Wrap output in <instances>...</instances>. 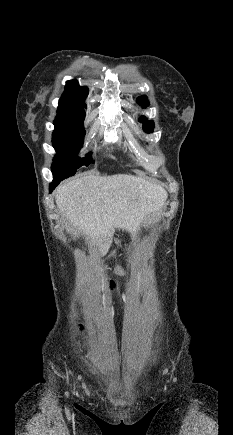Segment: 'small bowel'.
I'll return each instance as SVG.
<instances>
[{"label":"small bowel","mask_w":233,"mask_h":435,"mask_svg":"<svg viewBox=\"0 0 233 435\" xmlns=\"http://www.w3.org/2000/svg\"><path fill=\"white\" fill-rule=\"evenodd\" d=\"M117 286L112 281H107L105 285V292L110 298H114L117 294Z\"/></svg>","instance_id":"obj_1"}]
</instances>
